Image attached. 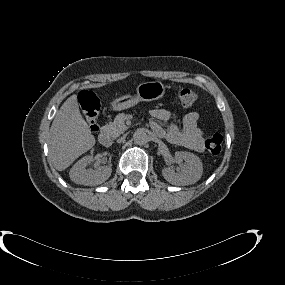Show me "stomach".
Wrapping results in <instances>:
<instances>
[{"instance_id": "1", "label": "stomach", "mask_w": 285, "mask_h": 285, "mask_svg": "<svg viewBox=\"0 0 285 285\" xmlns=\"http://www.w3.org/2000/svg\"><path fill=\"white\" fill-rule=\"evenodd\" d=\"M166 92L165 85L160 81L140 83L136 88L135 95H124L115 99L110 104L114 111H121L134 107L140 102H150L163 98Z\"/></svg>"}]
</instances>
